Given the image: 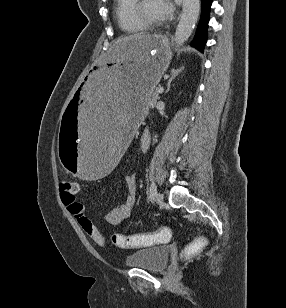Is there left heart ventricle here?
Listing matches in <instances>:
<instances>
[{"label": "left heart ventricle", "instance_id": "b2bd125f", "mask_svg": "<svg viewBox=\"0 0 286 308\" xmlns=\"http://www.w3.org/2000/svg\"><path fill=\"white\" fill-rule=\"evenodd\" d=\"M141 11L142 14L150 21H161L163 19L156 0H145Z\"/></svg>", "mask_w": 286, "mask_h": 308}]
</instances>
